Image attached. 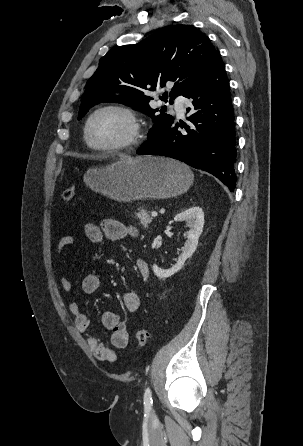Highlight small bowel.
<instances>
[{"instance_id": "1", "label": "small bowel", "mask_w": 303, "mask_h": 446, "mask_svg": "<svg viewBox=\"0 0 303 446\" xmlns=\"http://www.w3.org/2000/svg\"><path fill=\"white\" fill-rule=\"evenodd\" d=\"M84 233L87 240L91 243H101L105 238L110 241H120L129 236H136L137 230L130 225H127L116 219H105L101 225L98 226L93 223H88L84 226ZM74 238L72 236H63L57 242V253L61 254L65 249L72 246ZM135 267L143 279H148L150 270L146 260L138 258L135 261ZM61 283L66 291H70L72 283L66 276L61 278ZM100 277L96 272L86 274L81 281V288L84 293L92 294L100 288ZM122 302L125 309L130 313H135L140 309V298L134 291H126L122 295ZM69 310L74 317V322L80 332H87L90 327V321L80 305L76 302H71ZM102 325L105 329L110 331V342L112 347L105 346L95 335L88 334L86 343L94 356L101 361L114 362L116 360L115 349H123L127 346L129 335L126 325L121 322L119 316L112 312L106 311L101 317Z\"/></svg>"}]
</instances>
